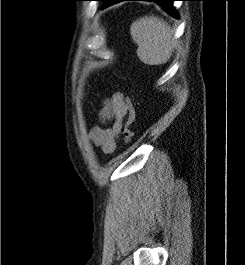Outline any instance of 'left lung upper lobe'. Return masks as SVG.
<instances>
[{"mask_svg": "<svg viewBox=\"0 0 245 265\" xmlns=\"http://www.w3.org/2000/svg\"><path fill=\"white\" fill-rule=\"evenodd\" d=\"M99 1H103V2H104V1H106V0H99Z\"/></svg>", "mask_w": 245, "mask_h": 265, "instance_id": "left-lung-upper-lobe-1", "label": "left lung upper lobe"}]
</instances>
